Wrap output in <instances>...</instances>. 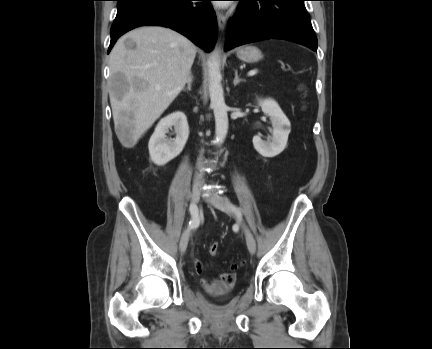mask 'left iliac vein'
I'll return each instance as SVG.
<instances>
[{
    "mask_svg": "<svg viewBox=\"0 0 432 349\" xmlns=\"http://www.w3.org/2000/svg\"><path fill=\"white\" fill-rule=\"evenodd\" d=\"M206 201L213 205L214 207L225 211L226 213H229L231 215H234L235 217H237L239 224L242 227V230L244 232L245 238H246V243H247V247L249 249V252L251 254H254L256 251V241L255 238L251 232V230L247 227V225L242 221V219L238 216L237 212L235 210L232 209L231 207V203L229 201V199L222 197V196H218V195H214V194H209L205 197Z\"/></svg>",
    "mask_w": 432,
    "mask_h": 349,
    "instance_id": "obj_1",
    "label": "left iliac vein"
}]
</instances>
